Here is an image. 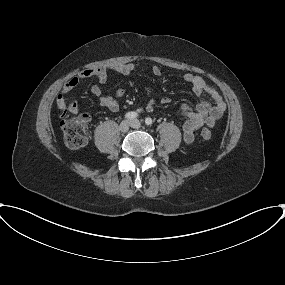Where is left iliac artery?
<instances>
[{
	"label": "left iliac artery",
	"mask_w": 285,
	"mask_h": 285,
	"mask_svg": "<svg viewBox=\"0 0 285 285\" xmlns=\"http://www.w3.org/2000/svg\"><path fill=\"white\" fill-rule=\"evenodd\" d=\"M145 124H146V125H151V124H152V119H151L150 117H147V118L145 119Z\"/></svg>",
	"instance_id": "obj_1"
}]
</instances>
